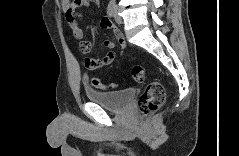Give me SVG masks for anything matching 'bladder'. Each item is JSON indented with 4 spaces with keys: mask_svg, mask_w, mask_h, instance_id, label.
<instances>
[{
    "mask_svg": "<svg viewBox=\"0 0 239 156\" xmlns=\"http://www.w3.org/2000/svg\"><path fill=\"white\" fill-rule=\"evenodd\" d=\"M134 95V89L119 91L86 90V96L89 101L113 112L123 111L130 104Z\"/></svg>",
    "mask_w": 239,
    "mask_h": 156,
    "instance_id": "obj_1",
    "label": "bladder"
}]
</instances>
